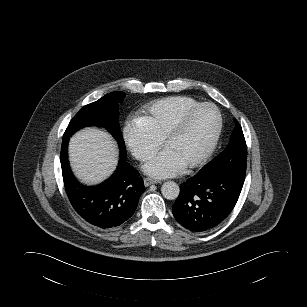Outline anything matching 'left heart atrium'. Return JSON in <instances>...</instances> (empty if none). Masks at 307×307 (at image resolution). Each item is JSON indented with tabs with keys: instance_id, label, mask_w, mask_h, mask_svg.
<instances>
[{
	"instance_id": "39dd6f15",
	"label": "left heart atrium",
	"mask_w": 307,
	"mask_h": 307,
	"mask_svg": "<svg viewBox=\"0 0 307 307\" xmlns=\"http://www.w3.org/2000/svg\"><path fill=\"white\" fill-rule=\"evenodd\" d=\"M185 168L170 150L164 148L143 166L144 171L156 178H167L181 173Z\"/></svg>"
}]
</instances>
